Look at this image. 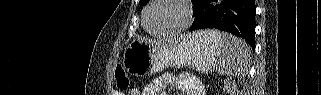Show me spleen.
Here are the masks:
<instances>
[{"mask_svg": "<svg viewBox=\"0 0 321 95\" xmlns=\"http://www.w3.org/2000/svg\"><path fill=\"white\" fill-rule=\"evenodd\" d=\"M211 38L222 42V53L217 71L227 76H244L251 60V48L242 39L231 34L220 33L215 30L204 31Z\"/></svg>", "mask_w": 321, "mask_h": 95, "instance_id": "1", "label": "spleen"}]
</instances>
